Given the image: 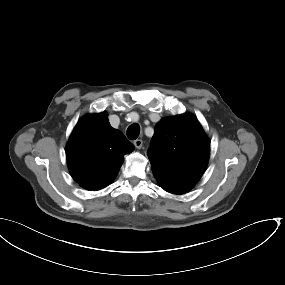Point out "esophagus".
Returning a JSON list of instances; mask_svg holds the SVG:
<instances>
[{
    "instance_id": "obj_1",
    "label": "esophagus",
    "mask_w": 285,
    "mask_h": 285,
    "mask_svg": "<svg viewBox=\"0 0 285 285\" xmlns=\"http://www.w3.org/2000/svg\"><path fill=\"white\" fill-rule=\"evenodd\" d=\"M143 145V141L141 139H136L134 141V146L137 148V149H140Z\"/></svg>"
}]
</instances>
